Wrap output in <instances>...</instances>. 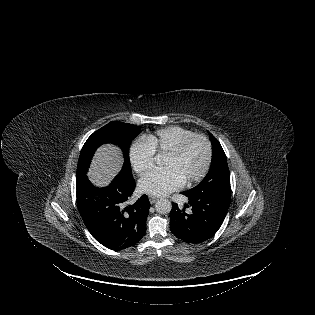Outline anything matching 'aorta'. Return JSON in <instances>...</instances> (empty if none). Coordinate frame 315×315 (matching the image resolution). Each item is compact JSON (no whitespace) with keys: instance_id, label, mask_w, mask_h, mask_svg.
I'll use <instances>...</instances> for the list:
<instances>
[{"instance_id":"762f6f07","label":"aorta","mask_w":315,"mask_h":315,"mask_svg":"<svg viewBox=\"0 0 315 315\" xmlns=\"http://www.w3.org/2000/svg\"><path fill=\"white\" fill-rule=\"evenodd\" d=\"M156 211L160 214H168L172 209V204L168 199H159L155 203Z\"/></svg>"}]
</instances>
